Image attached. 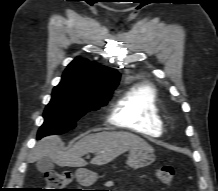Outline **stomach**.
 Instances as JSON below:
<instances>
[{"label": "stomach", "instance_id": "1", "mask_svg": "<svg viewBox=\"0 0 218 191\" xmlns=\"http://www.w3.org/2000/svg\"><path fill=\"white\" fill-rule=\"evenodd\" d=\"M155 161V155L151 150L134 149L131 150L128 156L127 165L131 168L138 169L152 164ZM99 178L98 174L85 170L78 169L76 171L77 181L84 186H89L96 182Z\"/></svg>", "mask_w": 218, "mask_h": 191}]
</instances>
